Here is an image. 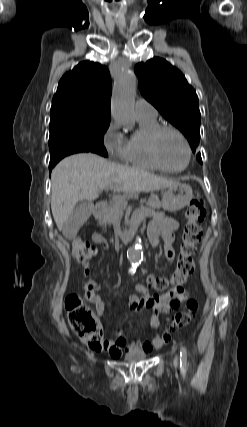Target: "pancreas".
I'll use <instances>...</instances> for the list:
<instances>
[{
    "mask_svg": "<svg viewBox=\"0 0 247 427\" xmlns=\"http://www.w3.org/2000/svg\"><path fill=\"white\" fill-rule=\"evenodd\" d=\"M126 204L127 202L125 198H122L121 201L113 200L110 202L102 214L101 223L103 225L119 226L120 218L123 214ZM147 205L156 209L161 207V202L158 196L152 194L147 201Z\"/></svg>",
    "mask_w": 247,
    "mask_h": 427,
    "instance_id": "cf45deb5",
    "label": "pancreas"
}]
</instances>
